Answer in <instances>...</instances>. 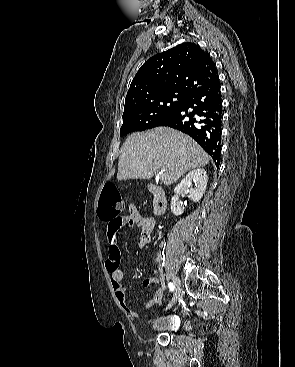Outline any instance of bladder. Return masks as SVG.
<instances>
[{
	"label": "bladder",
	"instance_id": "bladder-1",
	"mask_svg": "<svg viewBox=\"0 0 295 367\" xmlns=\"http://www.w3.org/2000/svg\"><path fill=\"white\" fill-rule=\"evenodd\" d=\"M175 320L173 318H164L155 316L152 318L151 326L155 331L171 330L174 327Z\"/></svg>",
	"mask_w": 295,
	"mask_h": 367
}]
</instances>
